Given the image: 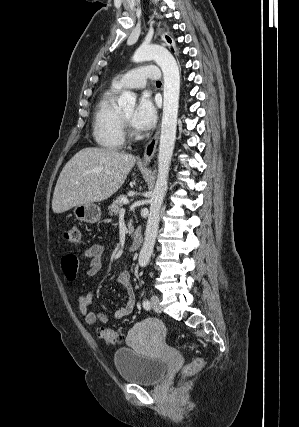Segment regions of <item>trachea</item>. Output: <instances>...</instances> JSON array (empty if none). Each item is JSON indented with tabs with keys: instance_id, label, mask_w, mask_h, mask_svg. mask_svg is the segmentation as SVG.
Instances as JSON below:
<instances>
[{
	"instance_id": "3493384b",
	"label": "trachea",
	"mask_w": 299,
	"mask_h": 427,
	"mask_svg": "<svg viewBox=\"0 0 299 427\" xmlns=\"http://www.w3.org/2000/svg\"><path fill=\"white\" fill-rule=\"evenodd\" d=\"M156 84H161V82H160V81H157V82H156Z\"/></svg>"
}]
</instances>
